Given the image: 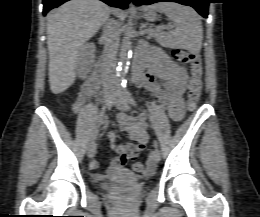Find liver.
<instances>
[{"instance_id": "6515ba94", "label": "liver", "mask_w": 260, "mask_h": 217, "mask_svg": "<svg viewBox=\"0 0 260 217\" xmlns=\"http://www.w3.org/2000/svg\"><path fill=\"white\" fill-rule=\"evenodd\" d=\"M109 15L110 8L99 0H70L49 13L47 45L52 93H62L75 82L82 46L109 20Z\"/></svg>"}]
</instances>
